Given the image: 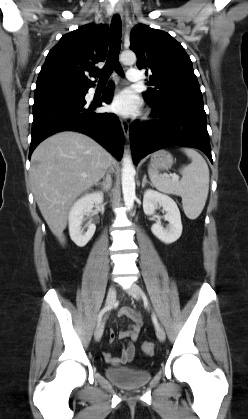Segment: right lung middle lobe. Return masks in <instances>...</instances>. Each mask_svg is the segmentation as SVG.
<instances>
[{
    "label": "right lung middle lobe",
    "instance_id": "1",
    "mask_svg": "<svg viewBox=\"0 0 248 419\" xmlns=\"http://www.w3.org/2000/svg\"><path fill=\"white\" fill-rule=\"evenodd\" d=\"M87 91H66L59 94L63 95H73V96H83L86 94Z\"/></svg>",
    "mask_w": 248,
    "mask_h": 419
}]
</instances>
